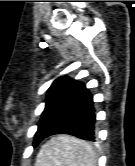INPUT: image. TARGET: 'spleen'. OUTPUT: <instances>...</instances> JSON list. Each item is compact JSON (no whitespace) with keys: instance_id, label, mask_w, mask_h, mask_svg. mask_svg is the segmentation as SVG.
Returning <instances> with one entry per match:
<instances>
[{"instance_id":"3e777b00","label":"spleen","mask_w":135,"mask_h":166,"mask_svg":"<svg viewBox=\"0 0 135 166\" xmlns=\"http://www.w3.org/2000/svg\"><path fill=\"white\" fill-rule=\"evenodd\" d=\"M97 158L92 146L78 138L59 135L44 144L35 166H96Z\"/></svg>"}]
</instances>
